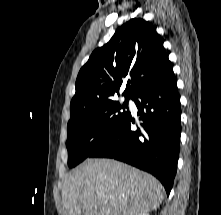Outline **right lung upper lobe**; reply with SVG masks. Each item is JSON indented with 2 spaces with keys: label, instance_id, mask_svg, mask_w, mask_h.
Wrapping results in <instances>:
<instances>
[{
  "label": "right lung upper lobe",
  "instance_id": "cb5924a9",
  "mask_svg": "<svg viewBox=\"0 0 221 215\" xmlns=\"http://www.w3.org/2000/svg\"><path fill=\"white\" fill-rule=\"evenodd\" d=\"M173 72L163 40L148 21L133 18L111 40L93 51L76 79L71 105L114 99L120 88L125 99ZM129 77L127 83L125 78Z\"/></svg>",
  "mask_w": 221,
  "mask_h": 215
}]
</instances>
